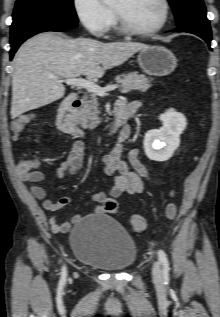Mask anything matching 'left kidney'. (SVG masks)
<instances>
[{
  "label": "left kidney",
  "instance_id": "obj_1",
  "mask_svg": "<svg viewBox=\"0 0 220 317\" xmlns=\"http://www.w3.org/2000/svg\"><path fill=\"white\" fill-rule=\"evenodd\" d=\"M163 126L145 134L144 150L147 157L155 161H166L174 153L180 143V134L186 126L183 115L168 110L159 116Z\"/></svg>",
  "mask_w": 220,
  "mask_h": 317
}]
</instances>
